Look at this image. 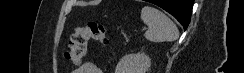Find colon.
I'll return each instance as SVG.
<instances>
[{
	"mask_svg": "<svg viewBox=\"0 0 244 73\" xmlns=\"http://www.w3.org/2000/svg\"><path fill=\"white\" fill-rule=\"evenodd\" d=\"M101 44L107 43L106 27L97 21L90 20L74 29L69 42L66 58L76 65H80L86 56L90 41Z\"/></svg>",
	"mask_w": 244,
	"mask_h": 73,
	"instance_id": "obj_1",
	"label": "colon"
}]
</instances>
